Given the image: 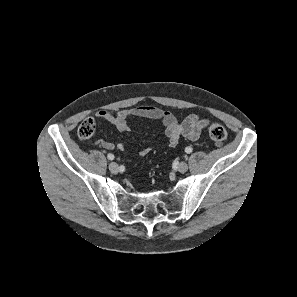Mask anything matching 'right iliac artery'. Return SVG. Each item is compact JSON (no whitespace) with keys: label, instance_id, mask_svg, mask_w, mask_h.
I'll return each instance as SVG.
<instances>
[{"label":"right iliac artery","instance_id":"1","mask_svg":"<svg viewBox=\"0 0 297 297\" xmlns=\"http://www.w3.org/2000/svg\"><path fill=\"white\" fill-rule=\"evenodd\" d=\"M107 158H108L109 160H113V159H114V155H113V154H108V155H107Z\"/></svg>","mask_w":297,"mask_h":297}]
</instances>
